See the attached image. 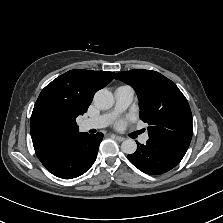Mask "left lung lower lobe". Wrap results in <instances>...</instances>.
Listing matches in <instances>:
<instances>
[{
    "instance_id": "obj_1",
    "label": "left lung lower lobe",
    "mask_w": 223,
    "mask_h": 223,
    "mask_svg": "<svg viewBox=\"0 0 223 223\" xmlns=\"http://www.w3.org/2000/svg\"><path fill=\"white\" fill-rule=\"evenodd\" d=\"M137 145L136 152L128 155V159L142 172L152 175L174 168L187 151L150 138L146 145L138 142Z\"/></svg>"
}]
</instances>
